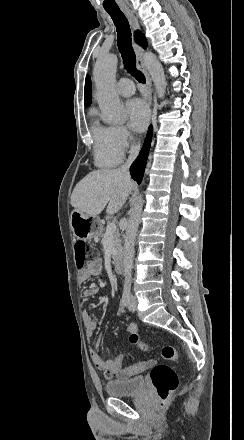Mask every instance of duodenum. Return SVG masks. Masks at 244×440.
<instances>
[{
    "mask_svg": "<svg viewBox=\"0 0 244 440\" xmlns=\"http://www.w3.org/2000/svg\"><path fill=\"white\" fill-rule=\"evenodd\" d=\"M114 270L120 274L123 272V256L121 254H116L113 257Z\"/></svg>",
    "mask_w": 244,
    "mask_h": 440,
    "instance_id": "1",
    "label": "duodenum"
}]
</instances>
